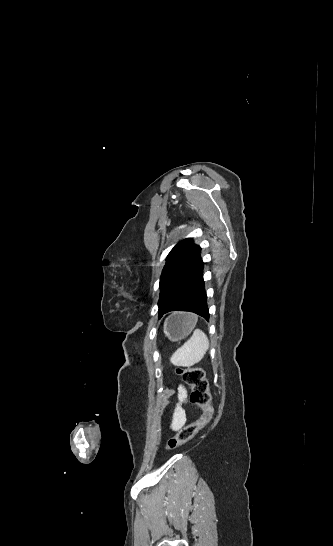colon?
Here are the masks:
<instances>
[{
	"label": "colon",
	"mask_w": 333,
	"mask_h": 546,
	"mask_svg": "<svg viewBox=\"0 0 333 546\" xmlns=\"http://www.w3.org/2000/svg\"><path fill=\"white\" fill-rule=\"evenodd\" d=\"M177 372L184 381L191 387V402L202 410L199 420L182 427L175 436L171 437L166 444L168 450H173L180 445L190 441L202 430L214 417V408L211 404L209 385L205 372L199 367L178 368Z\"/></svg>",
	"instance_id": "1"
}]
</instances>
